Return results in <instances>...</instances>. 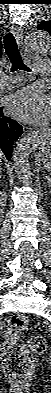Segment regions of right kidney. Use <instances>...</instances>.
Returning a JSON list of instances; mask_svg holds the SVG:
<instances>
[{"instance_id": "right-kidney-1", "label": "right kidney", "mask_w": 51, "mask_h": 393, "mask_svg": "<svg viewBox=\"0 0 51 393\" xmlns=\"http://www.w3.org/2000/svg\"><path fill=\"white\" fill-rule=\"evenodd\" d=\"M0 206H1V211H3L4 206L6 205V197L3 195V193H0Z\"/></svg>"}]
</instances>
